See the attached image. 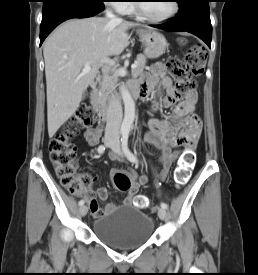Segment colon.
Here are the masks:
<instances>
[{
	"label": "colon",
	"instance_id": "5ec220e1",
	"mask_svg": "<svg viewBox=\"0 0 258 275\" xmlns=\"http://www.w3.org/2000/svg\"><path fill=\"white\" fill-rule=\"evenodd\" d=\"M205 61L206 55L197 45L189 48L185 58L173 57L167 61L168 71L177 79L178 91L186 93L196 89V78L202 75ZM93 120V109L88 106L80 107L71 120L61 128L49 143L50 160L55 168L56 175L61 184L73 193L89 189L93 182V177L90 175H77L76 146L73 142V137L79 129L91 127ZM193 163V153L189 150L181 157L174 172V183L177 187H181L188 182ZM113 181L120 191H129L131 181L128 175L117 172L113 176ZM134 203L138 208L144 209L148 207L149 199L146 196H137Z\"/></svg>",
	"mask_w": 258,
	"mask_h": 275
}]
</instances>
